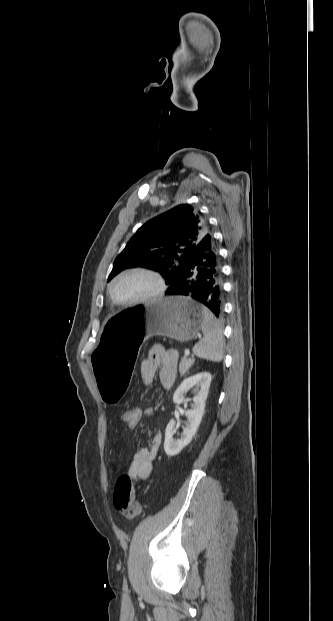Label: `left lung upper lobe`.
Masks as SVG:
<instances>
[{
    "instance_id": "obj_1",
    "label": "left lung upper lobe",
    "mask_w": 333,
    "mask_h": 621,
    "mask_svg": "<svg viewBox=\"0 0 333 621\" xmlns=\"http://www.w3.org/2000/svg\"><path fill=\"white\" fill-rule=\"evenodd\" d=\"M209 233L207 221L189 204L178 205L140 227L114 261L110 281L129 267L157 271L171 287L199 241Z\"/></svg>"
}]
</instances>
